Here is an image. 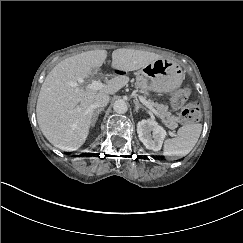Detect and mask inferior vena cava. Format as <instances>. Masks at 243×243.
I'll return each instance as SVG.
<instances>
[{
  "mask_svg": "<svg viewBox=\"0 0 243 243\" xmlns=\"http://www.w3.org/2000/svg\"><path fill=\"white\" fill-rule=\"evenodd\" d=\"M109 102V95L106 93H99L95 97L94 106L103 107L106 106Z\"/></svg>",
  "mask_w": 243,
  "mask_h": 243,
  "instance_id": "1",
  "label": "inferior vena cava"
}]
</instances>
